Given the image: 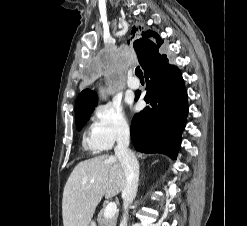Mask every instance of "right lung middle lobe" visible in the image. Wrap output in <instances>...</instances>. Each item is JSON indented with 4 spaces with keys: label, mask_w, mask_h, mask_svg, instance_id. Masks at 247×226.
<instances>
[{
    "label": "right lung middle lobe",
    "mask_w": 247,
    "mask_h": 226,
    "mask_svg": "<svg viewBox=\"0 0 247 226\" xmlns=\"http://www.w3.org/2000/svg\"><path fill=\"white\" fill-rule=\"evenodd\" d=\"M96 103L97 100H94L92 104L89 106V109L84 114L80 115L79 117H76V125L78 130H80L82 126L88 121L90 114L92 113V111L96 106Z\"/></svg>",
    "instance_id": "1"
}]
</instances>
